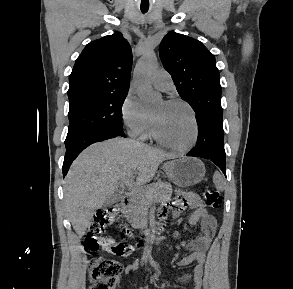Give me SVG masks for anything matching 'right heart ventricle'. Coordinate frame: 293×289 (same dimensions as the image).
<instances>
[{"label": "right heart ventricle", "instance_id": "e07e8e85", "mask_svg": "<svg viewBox=\"0 0 293 289\" xmlns=\"http://www.w3.org/2000/svg\"><path fill=\"white\" fill-rule=\"evenodd\" d=\"M143 135H144V136H150V135H151V128H150V125H149V127L146 129V131L144 132Z\"/></svg>", "mask_w": 293, "mask_h": 289}]
</instances>
